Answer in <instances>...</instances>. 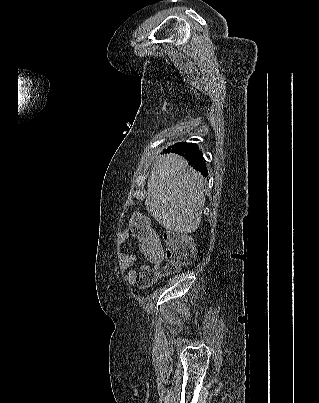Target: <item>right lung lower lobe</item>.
Listing matches in <instances>:
<instances>
[{"label": "right lung lower lobe", "mask_w": 319, "mask_h": 403, "mask_svg": "<svg viewBox=\"0 0 319 403\" xmlns=\"http://www.w3.org/2000/svg\"><path fill=\"white\" fill-rule=\"evenodd\" d=\"M168 152H174L185 157L194 169L201 171V174L203 176H207V168L205 165L203 154L195 143H176L170 146Z\"/></svg>", "instance_id": "1"}]
</instances>
